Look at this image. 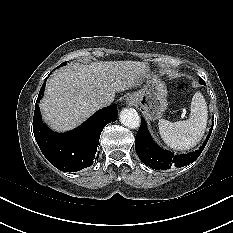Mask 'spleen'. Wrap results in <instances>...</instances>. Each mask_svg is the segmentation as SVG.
Wrapping results in <instances>:
<instances>
[{"label": "spleen", "instance_id": "1", "mask_svg": "<svg viewBox=\"0 0 233 233\" xmlns=\"http://www.w3.org/2000/svg\"><path fill=\"white\" fill-rule=\"evenodd\" d=\"M189 119L170 122L159 120V133L163 141L171 148L188 150L202 139L208 119L207 105L200 92H196L191 101Z\"/></svg>", "mask_w": 233, "mask_h": 233}]
</instances>
